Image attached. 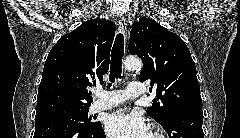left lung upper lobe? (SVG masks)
<instances>
[{
	"mask_svg": "<svg viewBox=\"0 0 240 138\" xmlns=\"http://www.w3.org/2000/svg\"><path fill=\"white\" fill-rule=\"evenodd\" d=\"M129 52L143 61L139 79L150 81L156 99L148 112L163 127L186 109L202 108L195 63L184 41L156 21L141 17L130 32ZM161 100V102H157Z\"/></svg>",
	"mask_w": 240,
	"mask_h": 138,
	"instance_id": "5c2ea615",
	"label": "left lung upper lobe"
}]
</instances>
